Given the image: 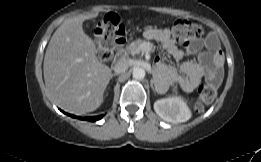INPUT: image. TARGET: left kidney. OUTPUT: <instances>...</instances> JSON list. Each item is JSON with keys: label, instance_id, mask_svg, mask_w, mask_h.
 Returning a JSON list of instances; mask_svg holds the SVG:
<instances>
[{"label": "left kidney", "instance_id": "left-kidney-1", "mask_svg": "<svg viewBox=\"0 0 261 162\" xmlns=\"http://www.w3.org/2000/svg\"><path fill=\"white\" fill-rule=\"evenodd\" d=\"M154 110L163 120L174 124L186 122L192 115L186 102L177 96L157 100Z\"/></svg>", "mask_w": 261, "mask_h": 162}]
</instances>
